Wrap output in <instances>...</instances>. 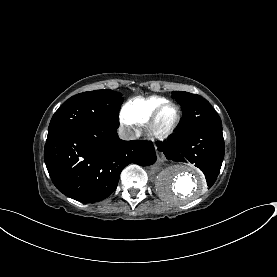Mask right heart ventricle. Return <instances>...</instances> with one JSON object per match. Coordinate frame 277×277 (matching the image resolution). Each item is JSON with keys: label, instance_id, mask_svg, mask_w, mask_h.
Returning a JSON list of instances; mask_svg holds the SVG:
<instances>
[{"label": "right heart ventricle", "instance_id": "1", "mask_svg": "<svg viewBox=\"0 0 277 277\" xmlns=\"http://www.w3.org/2000/svg\"><path fill=\"white\" fill-rule=\"evenodd\" d=\"M165 101L168 100L158 96L146 99L142 97L132 98L123 106L121 111L122 118L131 124L144 125L155 108Z\"/></svg>", "mask_w": 277, "mask_h": 277}]
</instances>
